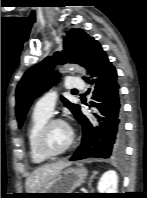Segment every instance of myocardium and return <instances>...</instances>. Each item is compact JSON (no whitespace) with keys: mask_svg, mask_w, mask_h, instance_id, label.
<instances>
[{"mask_svg":"<svg viewBox=\"0 0 147 198\" xmlns=\"http://www.w3.org/2000/svg\"><path fill=\"white\" fill-rule=\"evenodd\" d=\"M58 123L63 124L67 127L69 132V139L66 145L62 149H60L59 151H52L47 146V134L51 126ZM74 140H75L74 131L66 121H64L61 118H51L48 119L40 128L36 137V147L39 153L44 157L55 158L67 152L73 145Z\"/></svg>","mask_w":147,"mask_h":198,"instance_id":"myocardium-1","label":"myocardium"}]
</instances>
